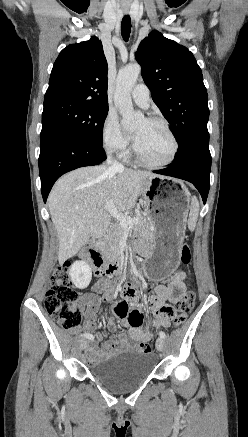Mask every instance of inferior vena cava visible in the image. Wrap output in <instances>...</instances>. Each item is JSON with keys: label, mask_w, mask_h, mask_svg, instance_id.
<instances>
[{"label": "inferior vena cava", "mask_w": 248, "mask_h": 437, "mask_svg": "<svg viewBox=\"0 0 248 437\" xmlns=\"http://www.w3.org/2000/svg\"><path fill=\"white\" fill-rule=\"evenodd\" d=\"M107 165H110L115 170H123L124 166L116 160H113L111 153H108L107 156Z\"/></svg>", "instance_id": "inferior-vena-cava-1"}]
</instances>
